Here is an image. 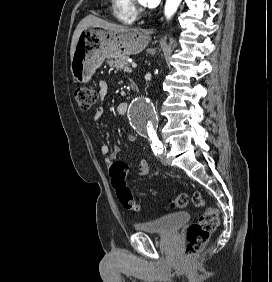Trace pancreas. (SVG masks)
Masks as SVG:
<instances>
[{"mask_svg": "<svg viewBox=\"0 0 272 282\" xmlns=\"http://www.w3.org/2000/svg\"><path fill=\"white\" fill-rule=\"evenodd\" d=\"M127 60V57H122L116 60H108L107 63L110 67L115 68L116 71L130 72L131 68Z\"/></svg>", "mask_w": 272, "mask_h": 282, "instance_id": "obj_1", "label": "pancreas"}]
</instances>
